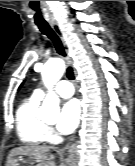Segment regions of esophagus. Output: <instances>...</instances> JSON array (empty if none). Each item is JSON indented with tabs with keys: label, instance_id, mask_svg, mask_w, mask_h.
Masks as SVG:
<instances>
[{
	"label": "esophagus",
	"instance_id": "esophagus-1",
	"mask_svg": "<svg viewBox=\"0 0 135 166\" xmlns=\"http://www.w3.org/2000/svg\"><path fill=\"white\" fill-rule=\"evenodd\" d=\"M50 26L51 28L54 30V32L58 35V37L60 38V40L62 41L63 45L66 46L65 44V40H64V37H63V33L58 25L57 22L55 21H51L50 23ZM68 60L70 62V64L72 63L71 59L68 57ZM73 138L70 139V141H72Z\"/></svg>",
	"mask_w": 135,
	"mask_h": 166
}]
</instances>
